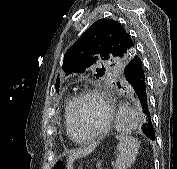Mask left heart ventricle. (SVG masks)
Returning a JSON list of instances; mask_svg holds the SVG:
<instances>
[{"instance_id":"b2bd125f","label":"left heart ventricle","mask_w":177,"mask_h":169,"mask_svg":"<svg viewBox=\"0 0 177 169\" xmlns=\"http://www.w3.org/2000/svg\"><path fill=\"white\" fill-rule=\"evenodd\" d=\"M105 120V110L99 99L84 98L77 110V130L79 136L89 135L98 130Z\"/></svg>"}]
</instances>
